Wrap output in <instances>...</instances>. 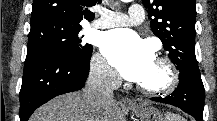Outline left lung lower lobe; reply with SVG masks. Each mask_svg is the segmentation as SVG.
<instances>
[{"mask_svg":"<svg viewBox=\"0 0 217 121\" xmlns=\"http://www.w3.org/2000/svg\"><path fill=\"white\" fill-rule=\"evenodd\" d=\"M204 98L205 90L201 76L188 71H180L179 85L171 96L151 98V100L179 107L192 115L196 121H202Z\"/></svg>","mask_w":217,"mask_h":121,"instance_id":"obj_1","label":"left lung lower lobe"}]
</instances>
